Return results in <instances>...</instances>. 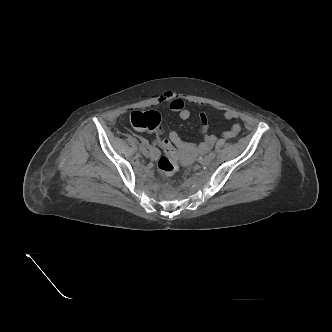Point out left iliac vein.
<instances>
[{
	"label": "left iliac vein",
	"mask_w": 332,
	"mask_h": 332,
	"mask_svg": "<svg viewBox=\"0 0 332 332\" xmlns=\"http://www.w3.org/2000/svg\"><path fill=\"white\" fill-rule=\"evenodd\" d=\"M211 161H212V158L209 155H207L203 158L204 164H209Z\"/></svg>",
	"instance_id": "1"
}]
</instances>
